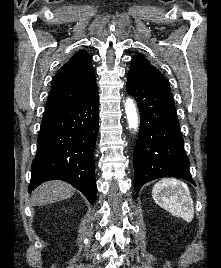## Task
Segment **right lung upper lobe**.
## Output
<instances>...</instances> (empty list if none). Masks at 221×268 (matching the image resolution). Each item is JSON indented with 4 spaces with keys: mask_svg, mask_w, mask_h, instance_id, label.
<instances>
[{
    "mask_svg": "<svg viewBox=\"0 0 221 268\" xmlns=\"http://www.w3.org/2000/svg\"><path fill=\"white\" fill-rule=\"evenodd\" d=\"M92 58L80 50L55 75L46 109L70 105L97 91Z\"/></svg>",
    "mask_w": 221,
    "mask_h": 268,
    "instance_id": "1",
    "label": "right lung upper lobe"
}]
</instances>
